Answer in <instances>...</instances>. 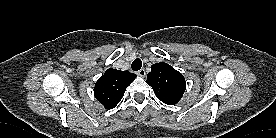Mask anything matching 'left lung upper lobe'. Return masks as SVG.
<instances>
[{"label":"left lung upper lobe","mask_w":276,"mask_h":138,"mask_svg":"<svg viewBox=\"0 0 276 138\" xmlns=\"http://www.w3.org/2000/svg\"><path fill=\"white\" fill-rule=\"evenodd\" d=\"M146 82L153 88L156 97L169 105L176 104L186 89L183 75L167 63L153 64Z\"/></svg>","instance_id":"obj_1"}]
</instances>
